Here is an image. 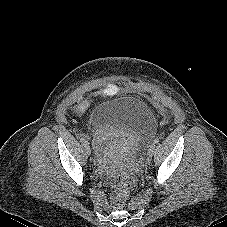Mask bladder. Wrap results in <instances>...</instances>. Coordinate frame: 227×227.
Here are the masks:
<instances>
[{"instance_id": "1", "label": "bladder", "mask_w": 227, "mask_h": 227, "mask_svg": "<svg viewBox=\"0 0 227 227\" xmlns=\"http://www.w3.org/2000/svg\"><path fill=\"white\" fill-rule=\"evenodd\" d=\"M87 122L91 133L105 128L126 131L134 140L130 149L132 154L142 151L143 141L149 139L156 130L152 111L134 99L100 103L89 111Z\"/></svg>"}]
</instances>
